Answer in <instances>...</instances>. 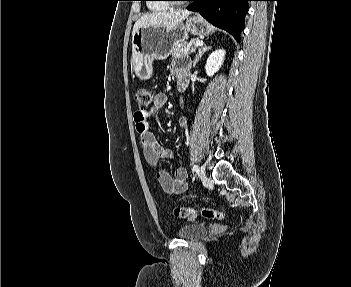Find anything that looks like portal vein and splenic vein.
<instances>
[{
    "label": "portal vein and splenic vein",
    "mask_w": 351,
    "mask_h": 287,
    "mask_svg": "<svg viewBox=\"0 0 351 287\" xmlns=\"http://www.w3.org/2000/svg\"><path fill=\"white\" fill-rule=\"evenodd\" d=\"M194 45H195V46H203L204 43H203V41L198 40V41H196V42L194 43Z\"/></svg>",
    "instance_id": "portal-vein-and-splenic-vein-1"
}]
</instances>
